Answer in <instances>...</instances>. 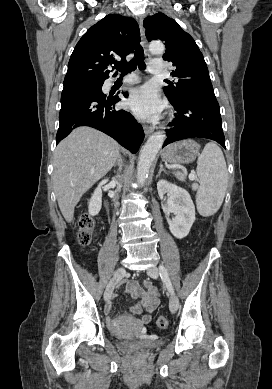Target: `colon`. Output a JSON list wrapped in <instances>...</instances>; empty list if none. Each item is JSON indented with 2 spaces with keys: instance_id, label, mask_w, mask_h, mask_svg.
Here are the masks:
<instances>
[{
  "instance_id": "colon-1",
  "label": "colon",
  "mask_w": 272,
  "mask_h": 389,
  "mask_svg": "<svg viewBox=\"0 0 272 389\" xmlns=\"http://www.w3.org/2000/svg\"><path fill=\"white\" fill-rule=\"evenodd\" d=\"M94 229L95 222L93 218L88 214L83 215L79 220L76 232V237L80 245L87 246L91 243L94 235ZM156 323L160 329H165L168 326V320L164 316H159Z\"/></svg>"
}]
</instances>
